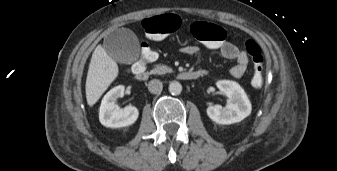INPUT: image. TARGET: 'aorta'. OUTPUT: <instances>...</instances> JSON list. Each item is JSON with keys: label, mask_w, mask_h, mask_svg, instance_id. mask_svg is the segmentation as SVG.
Masks as SVG:
<instances>
[{"label": "aorta", "mask_w": 337, "mask_h": 171, "mask_svg": "<svg viewBox=\"0 0 337 171\" xmlns=\"http://www.w3.org/2000/svg\"><path fill=\"white\" fill-rule=\"evenodd\" d=\"M168 89L172 95H179L182 92V85L178 81H172Z\"/></svg>", "instance_id": "1"}]
</instances>
